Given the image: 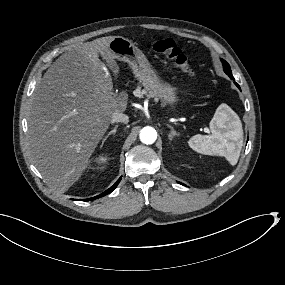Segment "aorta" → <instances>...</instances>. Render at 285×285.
<instances>
[{
  "label": "aorta",
  "mask_w": 285,
  "mask_h": 285,
  "mask_svg": "<svg viewBox=\"0 0 285 285\" xmlns=\"http://www.w3.org/2000/svg\"><path fill=\"white\" fill-rule=\"evenodd\" d=\"M157 139V132L153 127L146 126L140 131V140L146 145L153 144Z\"/></svg>",
  "instance_id": "obj_1"
}]
</instances>
